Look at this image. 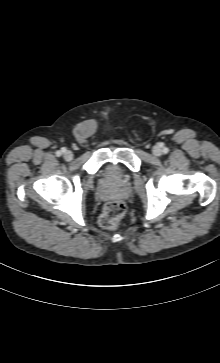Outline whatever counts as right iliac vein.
I'll use <instances>...</instances> for the list:
<instances>
[{
    "label": "right iliac vein",
    "mask_w": 220,
    "mask_h": 363,
    "mask_svg": "<svg viewBox=\"0 0 220 363\" xmlns=\"http://www.w3.org/2000/svg\"><path fill=\"white\" fill-rule=\"evenodd\" d=\"M63 157L66 161H71L73 159V153L69 150L65 151Z\"/></svg>",
    "instance_id": "63e3f726"
}]
</instances>
